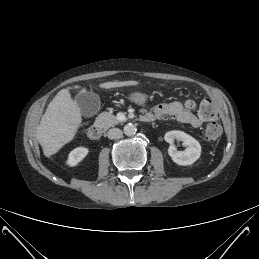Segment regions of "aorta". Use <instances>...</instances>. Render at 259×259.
<instances>
[{"label": "aorta", "instance_id": "aorta-1", "mask_svg": "<svg viewBox=\"0 0 259 259\" xmlns=\"http://www.w3.org/2000/svg\"><path fill=\"white\" fill-rule=\"evenodd\" d=\"M137 128L134 124L128 123L124 126V134L127 136H133L136 134Z\"/></svg>", "mask_w": 259, "mask_h": 259}]
</instances>
